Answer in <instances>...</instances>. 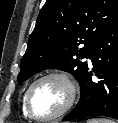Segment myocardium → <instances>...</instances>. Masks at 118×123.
<instances>
[{"label":"myocardium","mask_w":118,"mask_h":123,"mask_svg":"<svg viewBox=\"0 0 118 123\" xmlns=\"http://www.w3.org/2000/svg\"><path fill=\"white\" fill-rule=\"evenodd\" d=\"M52 78L59 79L66 85L68 89L67 102L61 108V110L57 112L56 114H53L47 117L38 116L33 112L32 107H31V101H30L31 93L39 83L45 80H48V79H52ZM77 95H78L77 83L75 79L69 73L65 71H58V70L51 71L37 78L28 87L25 93V97H24L25 110L27 114L29 115V117L36 121H41V122L53 121L65 115L72 108V106L74 105L76 101Z\"/></svg>","instance_id":"myocardium-1"}]
</instances>
